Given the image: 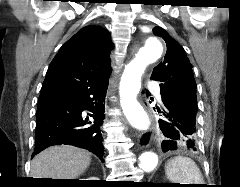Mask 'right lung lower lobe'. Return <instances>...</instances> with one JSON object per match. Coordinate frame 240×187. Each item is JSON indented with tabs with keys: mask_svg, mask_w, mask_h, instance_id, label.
I'll return each mask as SVG.
<instances>
[{
	"mask_svg": "<svg viewBox=\"0 0 240 187\" xmlns=\"http://www.w3.org/2000/svg\"><path fill=\"white\" fill-rule=\"evenodd\" d=\"M107 88L108 79L97 80L76 92L38 101L34 154L49 146L70 144L103 161L100 127Z\"/></svg>",
	"mask_w": 240,
	"mask_h": 187,
	"instance_id": "right-lung-lower-lobe-1",
	"label": "right lung lower lobe"
}]
</instances>
